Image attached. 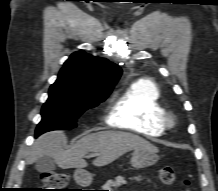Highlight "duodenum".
<instances>
[{"instance_id": "1", "label": "duodenum", "mask_w": 218, "mask_h": 191, "mask_svg": "<svg viewBox=\"0 0 218 191\" xmlns=\"http://www.w3.org/2000/svg\"><path fill=\"white\" fill-rule=\"evenodd\" d=\"M76 179L80 183H86V181H87V174L84 171V169L77 170V172H76Z\"/></svg>"}]
</instances>
